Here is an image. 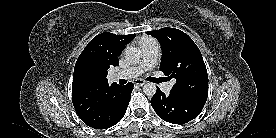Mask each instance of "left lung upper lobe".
I'll return each mask as SVG.
<instances>
[{
  "mask_svg": "<svg viewBox=\"0 0 276 138\" xmlns=\"http://www.w3.org/2000/svg\"><path fill=\"white\" fill-rule=\"evenodd\" d=\"M160 42L161 70L176 79L170 93L190 101L205 104L208 96V74L201 52L184 32L162 28L147 32Z\"/></svg>",
  "mask_w": 276,
  "mask_h": 138,
  "instance_id": "1",
  "label": "left lung upper lobe"
}]
</instances>
